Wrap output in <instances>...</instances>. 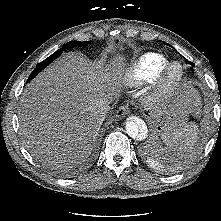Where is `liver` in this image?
<instances>
[{
	"instance_id": "1",
	"label": "liver",
	"mask_w": 221,
	"mask_h": 221,
	"mask_svg": "<svg viewBox=\"0 0 221 221\" xmlns=\"http://www.w3.org/2000/svg\"><path fill=\"white\" fill-rule=\"evenodd\" d=\"M124 72L121 58L107 69L67 53L27 84L19 107L20 132L41 161L76 165L91 149L103 121L100 104L117 96ZM187 105L197 94L186 89Z\"/></svg>"
}]
</instances>
